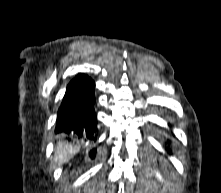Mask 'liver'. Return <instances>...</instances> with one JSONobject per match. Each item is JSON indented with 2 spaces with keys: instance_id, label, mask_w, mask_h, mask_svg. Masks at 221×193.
I'll use <instances>...</instances> for the list:
<instances>
[{
  "instance_id": "liver-1",
  "label": "liver",
  "mask_w": 221,
  "mask_h": 193,
  "mask_svg": "<svg viewBox=\"0 0 221 193\" xmlns=\"http://www.w3.org/2000/svg\"><path fill=\"white\" fill-rule=\"evenodd\" d=\"M79 147L69 142H59L54 153V162L58 165L68 162L77 152Z\"/></svg>"
}]
</instances>
